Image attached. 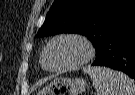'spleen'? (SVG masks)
Instances as JSON below:
<instances>
[{
	"instance_id": "obj_1",
	"label": "spleen",
	"mask_w": 135,
	"mask_h": 95,
	"mask_svg": "<svg viewBox=\"0 0 135 95\" xmlns=\"http://www.w3.org/2000/svg\"><path fill=\"white\" fill-rule=\"evenodd\" d=\"M93 82L97 95H135V82L121 72L105 67L83 68Z\"/></svg>"
}]
</instances>
